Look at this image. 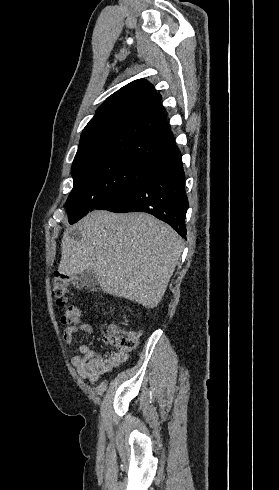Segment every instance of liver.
Instances as JSON below:
<instances>
[{"instance_id": "1", "label": "liver", "mask_w": 279, "mask_h": 490, "mask_svg": "<svg viewBox=\"0 0 279 490\" xmlns=\"http://www.w3.org/2000/svg\"><path fill=\"white\" fill-rule=\"evenodd\" d=\"M81 240L64 234L59 274L93 270L101 290L144 308H157L182 254L183 240L150 214L94 210L76 226Z\"/></svg>"}]
</instances>
